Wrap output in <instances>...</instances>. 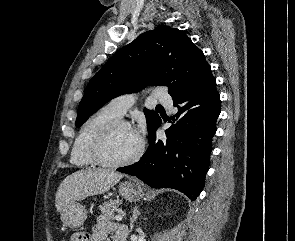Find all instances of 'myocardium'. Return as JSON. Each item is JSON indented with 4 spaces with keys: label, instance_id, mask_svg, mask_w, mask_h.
Segmentation results:
<instances>
[{
    "label": "myocardium",
    "instance_id": "f54148a6",
    "mask_svg": "<svg viewBox=\"0 0 295 241\" xmlns=\"http://www.w3.org/2000/svg\"><path fill=\"white\" fill-rule=\"evenodd\" d=\"M119 127L131 128L130 124L122 119H116L108 123L94 139L91 146V155L95 162L103 167L108 168H119L131 165L137 162L143 155L145 150V143L143 139L139 137V147L136 153L128 159L122 161L110 160L106 155L107 144L114 133V131Z\"/></svg>",
    "mask_w": 295,
    "mask_h": 241
}]
</instances>
